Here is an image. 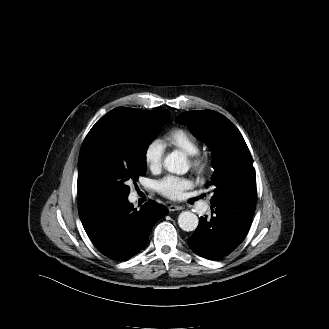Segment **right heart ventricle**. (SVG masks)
Masks as SVG:
<instances>
[{
	"label": "right heart ventricle",
	"mask_w": 329,
	"mask_h": 329,
	"mask_svg": "<svg viewBox=\"0 0 329 329\" xmlns=\"http://www.w3.org/2000/svg\"><path fill=\"white\" fill-rule=\"evenodd\" d=\"M168 144L181 149L188 155H194L199 152V142L184 128H174L165 136Z\"/></svg>",
	"instance_id": "right-heart-ventricle-1"
}]
</instances>
